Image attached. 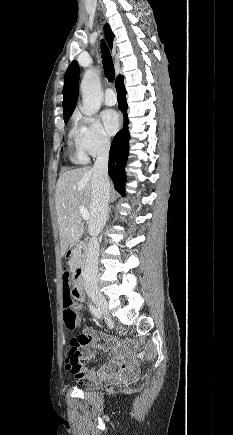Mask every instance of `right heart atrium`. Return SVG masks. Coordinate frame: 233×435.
<instances>
[{
  "instance_id": "1",
  "label": "right heart atrium",
  "mask_w": 233,
  "mask_h": 435,
  "mask_svg": "<svg viewBox=\"0 0 233 435\" xmlns=\"http://www.w3.org/2000/svg\"><path fill=\"white\" fill-rule=\"evenodd\" d=\"M76 120L82 127V148L85 154L97 157L105 154L110 147L111 140L101 123L94 117L77 115Z\"/></svg>"
}]
</instances>
